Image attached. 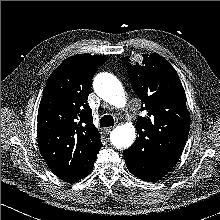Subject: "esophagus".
Segmentation results:
<instances>
[{
	"label": "esophagus",
	"mask_w": 220,
	"mask_h": 220,
	"mask_svg": "<svg viewBox=\"0 0 220 220\" xmlns=\"http://www.w3.org/2000/svg\"><path fill=\"white\" fill-rule=\"evenodd\" d=\"M113 128H114V127H108V128H106V129H104V133H105V134H109Z\"/></svg>",
	"instance_id": "1"
}]
</instances>
